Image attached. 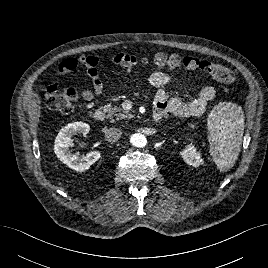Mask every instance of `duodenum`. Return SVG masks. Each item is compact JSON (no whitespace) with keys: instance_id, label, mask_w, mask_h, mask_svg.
Instances as JSON below:
<instances>
[{"instance_id":"obj_1","label":"duodenum","mask_w":268,"mask_h":268,"mask_svg":"<svg viewBox=\"0 0 268 268\" xmlns=\"http://www.w3.org/2000/svg\"><path fill=\"white\" fill-rule=\"evenodd\" d=\"M91 116L93 117V119L95 121H102L104 119V112L100 109H97V110H94L92 113H91ZM161 116L162 114L157 112L154 114V121L157 122L161 119Z\"/></svg>"}]
</instances>
